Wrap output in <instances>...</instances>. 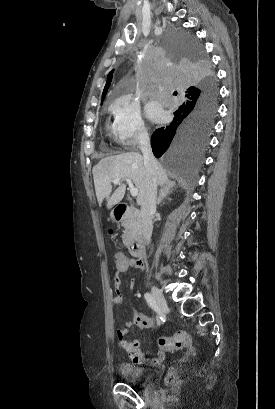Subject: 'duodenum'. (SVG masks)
Segmentation results:
<instances>
[{
    "mask_svg": "<svg viewBox=\"0 0 275 409\" xmlns=\"http://www.w3.org/2000/svg\"><path fill=\"white\" fill-rule=\"evenodd\" d=\"M129 210L130 208L128 205L124 203L118 204L114 209V218L117 221H122L129 212ZM144 249H145L144 237L140 232H136L129 243L130 253L134 257L140 258L144 253Z\"/></svg>",
    "mask_w": 275,
    "mask_h": 409,
    "instance_id": "410a0bca",
    "label": "duodenum"
}]
</instances>
